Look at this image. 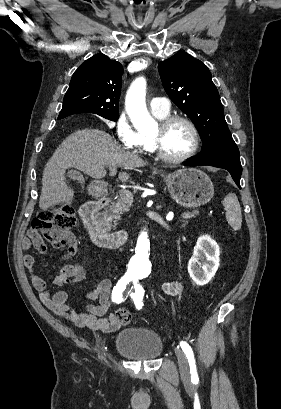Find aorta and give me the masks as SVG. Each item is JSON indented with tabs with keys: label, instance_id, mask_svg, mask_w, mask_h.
<instances>
[{
	"label": "aorta",
	"instance_id": "obj_1",
	"mask_svg": "<svg viewBox=\"0 0 281 409\" xmlns=\"http://www.w3.org/2000/svg\"><path fill=\"white\" fill-rule=\"evenodd\" d=\"M126 110L137 130L147 132L154 128L155 122L146 107L145 81L143 79L139 80L131 89L126 102Z\"/></svg>",
	"mask_w": 281,
	"mask_h": 409
}]
</instances>
